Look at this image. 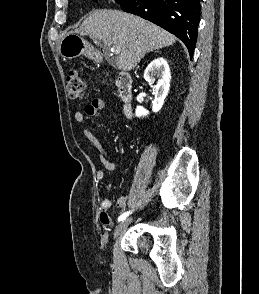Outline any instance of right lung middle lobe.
I'll list each match as a JSON object with an SVG mask.
<instances>
[{"label": "right lung middle lobe", "mask_w": 259, "mask_h": 294, "mask_svg": "<svg viewBox=\"0 0 259 294\" xmlns=\"http://www.w3.org/2000/svg\"><path fill=\"white\" fill-rule=\"evenodd\" d=\"M118 4L124 2L125 0H115Z\"/></svg>", "instance_id": "dd1d6c3e"}]
</instances>
